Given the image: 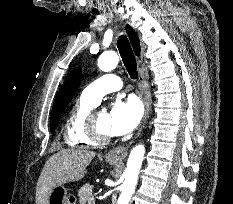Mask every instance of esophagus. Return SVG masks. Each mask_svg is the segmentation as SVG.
Masks as SVG:
<instances>
[{
  "mask_svg": "<svg viewBox=\"0 0 233 204\" xmlns=\"http://www.w3.org/2000/svg\"><path fill=\"white\" fill-rule=\"evenodd\" d=\"M138 84L141 92L142 101L145 106V114H144L143 124L137 136L140 135L142 128L144 127L151 113V93L141 68H139ZM127 152H128V147H124V146L116 147L107 153L106 158L113 161H122L127 156Z\"/></svg>",
  "mask_w": 233,
  "mask_h": 204,
  "instance_id": "1",
  "label": "esophagus"
}]
</instances>
